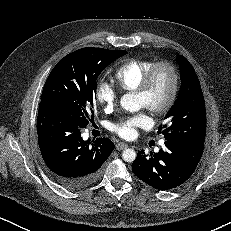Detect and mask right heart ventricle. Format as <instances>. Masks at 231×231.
Instances as JSON below:
<instances>
[{"label": "right heart ventricle", "mask_w": 231, "mask_h": 231, "mask_svg": "<svg viewBox=\"0 0 231 231\" xmlns=\"http://www.w3.org/2000/svg\"><path fill=\"white\" fill-rule=\"evenodd\" d=\"M154 63L150 59H132L125 62L114 73L118 88L125 92L135 91Z\"/></svg>", "instance_id": "e07e8e85"}]
</instances>
